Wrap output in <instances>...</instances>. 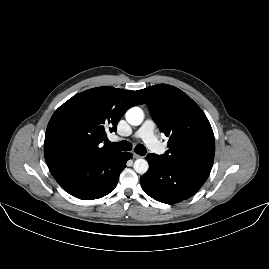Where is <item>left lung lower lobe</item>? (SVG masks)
I'll return each instance as SVG.
<instances>
[{
    "instance_id": "left-lung-lower-lobe-1",
    "label": "left lung lower lobe",
    "mask_w": 269,
    "mask_h": 269,
    "mask_svg": "<svg viewBox=\"0 0 269 269\" xmlns=\"http://www.w3.org/2000/svg\"><path fill=\"white\" fill-rule=\"evenodd\" d=\"M149 170L140 178L142 189L153 199L175 204L193 196L208 175L168 164L148 154Z\"/></svg>"
}]
</instances>
